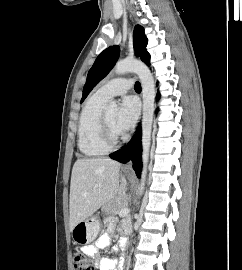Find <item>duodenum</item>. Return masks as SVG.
I'll return each mask as SVG.
<instances>
[{"label": "duodenum", "instance_id": "duodenum-1", "mask_svg": "<svg viewBox=\"0 0 242 270\" xmlns=\"http://www.w3.org/2000/svg\"><path fill=\"white\" fill-rule=\"evenodd\" d=\"M124 235H127V232L123 233Z\"/></svg>", "mask_w": 242, "mask_h": 270}]
</instances>
